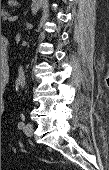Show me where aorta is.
Segmentation results:
<instances>
[{"mask_svg": "<svg viewBox=\"0 0 109 170\" xmlns=\"http://www.w3.org/2000/svg\"><path fill=\"white\" fill-rule=\"evenodd\" d=\"M17 83L24 88L25 86V73H24V69L23 66L20 65L18 67V78H17Z\"/></svg>", "mask_w": 109, "mask_h": 170, "instance_id": "obj_1", "label": "aorta"}]
</instances>
